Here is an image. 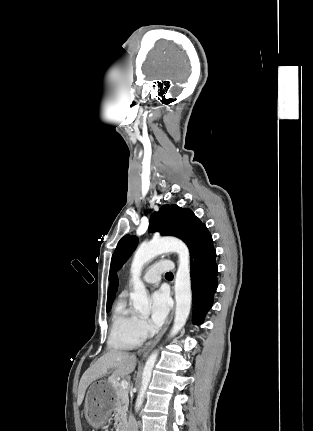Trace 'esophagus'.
<instances>
[{
  "mask_svg": "<svg viewBox=\"0 0 313 431\" xmlns=\"http://www.w3.org/2000/svg\"><path fill=\"white\" fill-rule=\"evenodd\" d=\"M174 316V308L171 311L168 319L166 320V323L164 325V327L162 328V330L155 336L154 339H152L151 341H149L145 347L141 350V354L143 356H145L147 353H149L154 347L155 345L159 342V340L162 338V336L164 335V333L166 332V330L168 329L172 319Z\"/></svg>",
  "mask_w": 313,
  "mask_h": 431,
  "instance_id": "34e87169",
  "label": "esophagus"
}]
</instances>
